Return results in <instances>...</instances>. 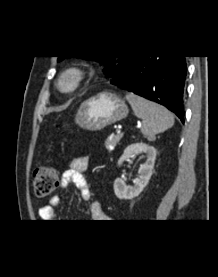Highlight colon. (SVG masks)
<instances>
[{
    "label": "colon",
    "mask_w": 218,
    "mask_h": 277,
    "mask_svg": "<svg viewBox=\"0 0 218 277\" xmlns=\"http://www.w3.org/2000/svg\"><path fill=\"white\" fill-rule=\"evenodd\" d=\"M58 184V171L55 167L44 165L33 173V187L35 196L39 199L48 197Z\"/></svg>",
    "instance_id": "1"
}]
</instances>
